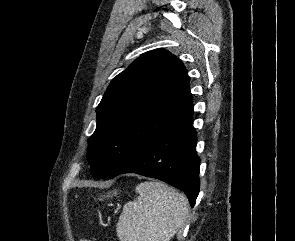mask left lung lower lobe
Wrapping results in <instances>:
<instances>
[{
	"instance_id": "obj_1",
	"label": "left lung lower lobe",
	"mask_w": 295,
	"mask_h": 241,
	"mask_svg": "<svg viewBox=\"0 0 295 241\" xmlns=\"http://www.w3.org/2000/svg\"><path fill=\"white\" fill-rule=\"evenodd\" d=\"M196 142L192 113L150 141L111 178L120 174L136 173L162 180L182 190L193 207L200 185V159L196 152Z\"/></svg>"
}]
</instances>
